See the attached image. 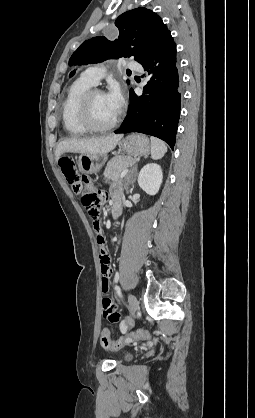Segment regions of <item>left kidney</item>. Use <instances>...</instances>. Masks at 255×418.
<instances>
[{
    "label": "left kidney",
    "mask_w": 255,
    "mask_h": 418,
    "mask_svg": "<svg viewBox=\"0 0 255 418\" xmlns=\"http://www.w3.org/2000/svg\"><path fill=\"white\" fill-rule=\"evenodd\" d=\"M163 180L161 167L156 163L145 165L138 175V184L149 195L158 193Z\"/></svg>",
    "instance_id": "obj_1"
}]
</instances>
